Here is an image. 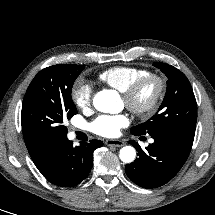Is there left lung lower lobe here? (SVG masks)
Listing matches in <instances>:
<instances>
[{"mask_svg": "<svg viewBox=\"0 0 215 215\" xmlns=\"http://www.w3.org/2000/svg\"><path fill=\"white\" fill-rule=\"evenodd\" d=\"M151 137L154 143L145 151L130 141L139 153L138 158L125 167L129 179L143 188H156L170 181L187 160L193 143L165 132Z\"/></svg>", "mask_w": 215, "mask_h": 215, "instance_id": "obj_1", "label": "left lung lower lobe"}]
</instances>
